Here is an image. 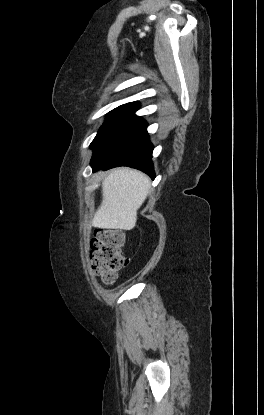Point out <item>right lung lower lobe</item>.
Wrapping results in <instances>:
<instances>
[{
  "mask_svg": "<svg viewBox=\"0 0 264 415\" xmlns=\"http://www.w3.org/2000/svg\"><path fill=\"white\" fill-rule=\"evenodd\" d=\"M129 112L116 122L93 146L91 166L94 171L117 166H129L139 169L153 179V146L147 133V123L134 113Z\"/></svg>",
  "mask_w": 264,
  "mask_h": 415,
  "instance_id": "1",
  "label": "right lung lower lobe"
}]
</instances>
